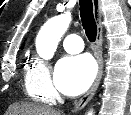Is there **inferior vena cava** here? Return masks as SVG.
Masks as SVG:
<instances>
[{
  "label": "inferior vena cava",
  "instance_id": "1",
  "mask_svg": "<svg viewBox=\"0 0 131 115\" xmlns=\"http://www.w3.org/2000/svg\"><path fill=\"white\" fill-rule=\"evenodd\" d=\"M57 100H58L59 103H63V100H62L61 97H58Z\"/></svg>",
  "mask_w": 131,
  "mask_h": 115
}]
</instances>
